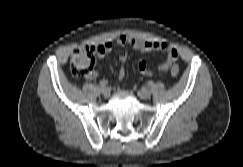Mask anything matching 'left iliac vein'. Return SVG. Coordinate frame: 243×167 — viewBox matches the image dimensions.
<instances>
[{"label": "left iliac vein", "instance_id": "left-iliac-vein-1", "mask_svg": "<svg viewBox=\"0 0 243 167\" xmlns=\"http://www.w3.org/2000/svg\"><path fill=\"white\" fill-rule=\"evenodd\" d=\"M137 94L143 100L149 99L151 97V92L147 88H141L140 90H138Z\"/></svg>", "mask_w": 243, "mask_h": 167}]
</instances>
